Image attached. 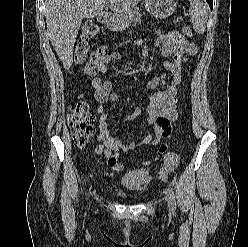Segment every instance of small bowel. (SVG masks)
<instances>
[{"mask_svg":"<svg viewBox=\"0 0 248 247\" xmlns=\"http://www.w3.org/2000/svg\"><path fill=\"white\" fill-rule=\"evenodd\" d=\"M136 45L140 48L141 53L146 55L145 41H138ZM155 45L162 50L164 69L146 83V88L151 91L146 109H137L132 115L128 116L127 121H132L142 114L147 116V122L153 126V131L144 139L141 145L158 146V155L154 160L156 161L163 157V172H169L178 163L177 155L167 151V141L171 135L170 123L177 118L178 87L182 82L183 66L188 57L196 53L197 48L195 44L189 42L177 31L158 36L155 39ZM120 58L121 56L117 52L105 55L100 61L99 71L101 73L106 72L109 64L120 60ZM92 86L95 90V99L99 103V132L97 134L99 144L95 152L100 161V157L104 155L107 165L112 170L120 171L123 166L117 162L118 152H129L136 149L138 145L134 142L124 144L121 140L113 137L109 130L108 115L105 107L108 103L117 100V94L112 88V81L96 76L92 80ZM162 138L165 139V142L160 143ZM149 163L150 161L144 162L146 165Z\"/></svg>","mask_w":248,"mask_h":247,"instance_id":"small-bowel-1","label":"small bowel"}]
</instances>
